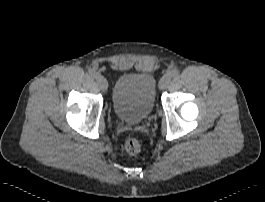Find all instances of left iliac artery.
Returning <instances> with one entry per match:
<instances>
[{"label": "left iliac artery", "instance_id": "1", "mask_svg": "<svg viewBox=\"0 0 265 202\" xmlns=\"http://www.w3.org/2000/svg\"><path fill=\"white\" fill-rule=\"evenodd\" d=\"M170 74L172 77H176V76H178L179 71L177 69H173Z\"/></svg>", "mask_w": 265, "mask_h": 202}]
</instances>
